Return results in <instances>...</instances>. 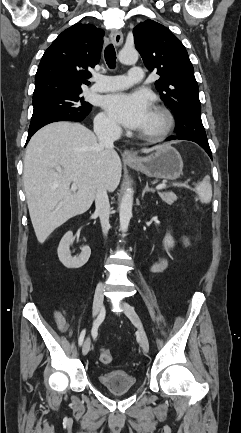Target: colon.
Here are the masks:
<instances>
[{
	"label": "colon",
	"mask_w": 241,
	"mask_h": 433,
	"mask_svg": "<svg viewBox=\"0 0 241 433\" xmlns=\"http://www.w3.org/2000/svg\"><path fill=\"white\" fill-rule=\"evenodd\" d=\"M99 359H100V361L102 363L108 364V363H110L112 361V354H111V352L109 350L103 349L100 352Z\"/></svg>",
	"instance_id": "obj_1"
}]
</instances>
